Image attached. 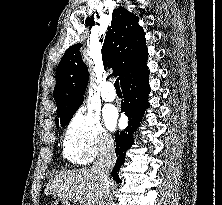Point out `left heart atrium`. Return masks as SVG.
<instances>
[{
	"label": "left heart atrium",
	"instance_id": "left-heart-atrium-1",
	"mask_svg": "<svg viewBox=\"0 0 222 205\" xmlns=\"http://www.w3.org/2000/svg\"><path fill=\"white\" fill-rule=\"evenodd\" d=\"M104 118L108 127L114 128L117 123V111L114 108L107 109Z\"/></svg>",
	"mask_w": 222,
	"mask_h": 205
}]
</instances>
